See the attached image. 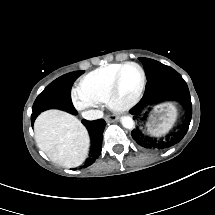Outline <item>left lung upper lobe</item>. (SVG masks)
I'll list each match as a JSON object with an SVG mask.
<instances>
[{"label":"left lung upper lobe","instance_id":"5c2ea615","mask_svg":"<svg viewBox=\"0 0 215 215\" xmlns=\"http://www.w3.org/2000/svg\"><path fill=\"white\" fill-rule=\"evenodd\" d=\"M143 63L147 77L145 93L141 101L131 111L133 115H139L152 101L157 99L177 100L186 113L184 125L166 141H156L145 136L139 129L132 131V137L138 145L145 149H166L179 143L188 131L192 117V104L186 82L173 68L161 64L158 61L139 58Z\"/></svg>","mask_w":215,"mask_h":215}]
</instances>
